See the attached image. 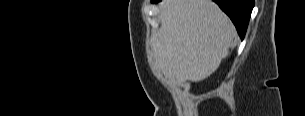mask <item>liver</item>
<instances>
[{"instance_id": "liver-1", "label": "liver", "mask_w": 305, "mask_h": 116, "mask_svg": "<svg viewBox=\"0 0 305 116\" xmlns=\"http://www.w3.org/2000/svg\"><path fill=\"white\" fill-rule=\"evenodd\" d=\"M160 19L154 64L177 83L207 78L236 46L233 23L212 0H164Z\"/></svg>"}]
</instances>
